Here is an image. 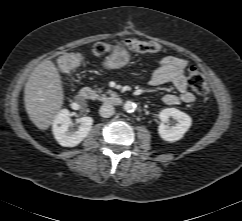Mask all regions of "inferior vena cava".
<instances>
[{
	"mask_svg": "<svg viewBox=\"0 0 242 221\" xmlns=\"http://www.w3.org/2000/svg\"><path fill=\"white\" fill-rule=\"evenodd\" d=\"M100 116L108 118L114 114V107L111 104L105 103L100 107Z\"/></svg>",
	"mask_w": 242,
	"mask_h": 221,
	"instance_id": "602c4592",
	"label": "inferior vena cava"
}]
</instances>
